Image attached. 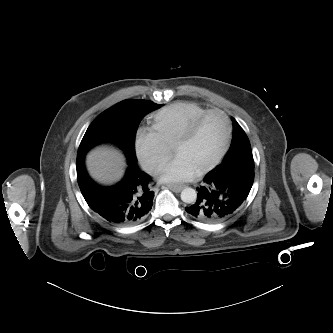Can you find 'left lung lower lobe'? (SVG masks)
Returning a JSON list of instances; mask_svg holds the SVG:
<instances>
[{
  "instance_id": "1",
  "label": "left lung lower lobe",
  "mask_w": 333,
  "mask_h": 333,
  "mask_svg": "<svg viewBox=\"0 0 333 333\" xmlns=\"http://www.w3.org/2000/svg\"><path fill=\"white\" fill-rule=\"evenodd\" d=\"M254 181V166L235 164L207 174L197 188V200L185 210L201 222H220L235 213Z\"/></svg>"
}]
</instances>
